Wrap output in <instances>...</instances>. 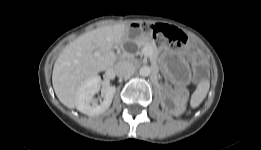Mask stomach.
Instances as JSON below:
<instances>
[{
    "mask_svg": "<svg viewBox=\"0 0 261 150\" xmlns=\"http://www.w3.org/2000/svg\"><path fill=\"white\" fill-rule=\"evenodd\" d=\"M133 37H134V38H137V37H138V34L134 33V34H133Z\"/></svg>",
    "mask_w": 261,
    "mask_h": 150,
    "instance_id": "obj_1",
    "label": "stomach"
}]
</instances>
